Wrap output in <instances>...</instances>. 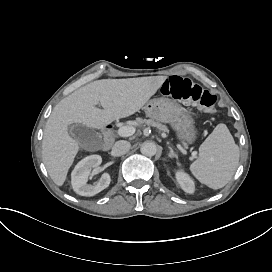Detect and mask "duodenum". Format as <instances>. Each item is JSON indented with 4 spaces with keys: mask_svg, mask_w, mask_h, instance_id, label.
Returning <instances> with one entry per match:
<instances>
[{
    "mask_svg": "<svg viewBox=\"0 0 272 272\" xmlns=\"http://www.w3.org/2000/svg\"><path fill=\"white\" fill-rule=\"evenodd\" d=\"M112 126L108 125L105 128L104 134H105V142H104V148L107 149L110 147L112 143Z\"/></svg>",
    "mask_w": 272,
    "mask_h": 272,
    "instance_id": "duodenum-1",
    "label": "duodenum"
}]
</instances>
